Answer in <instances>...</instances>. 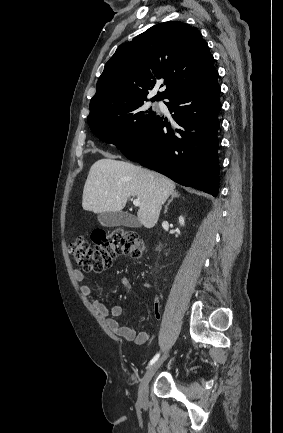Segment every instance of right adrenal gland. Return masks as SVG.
<instances>
[{
  "label": "right adrenal gland",
  "instance_id": "right-adrenal-gland-1",
  "mask_svg": "<svg viewBox=\"0 0 283 433\" xmlns=\"http://www.w3.org/2000/svg\"><path fill=\"white\" fill-rule=\"evenodd\" d=\"M175 196H180V194H178L177 190H173V192H171V198H170V200H168L167 204H165L164 212H167L168 204H170L171 200H173V198H175Z\"/></svg>",
  "mask_w": 283,
  "mask_h": 433
}]
</instances>
